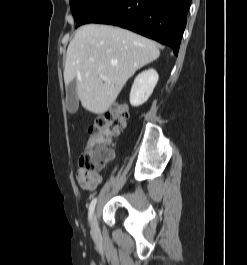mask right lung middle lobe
<instances>
[{"instance_id":"1","label":"right lung middle lobe","mask_w":247,"mask_h":265,"mask_svg":"<svg viewBox=\"0 0 247 265\" xmlns=\"http://www.w3.org/2000/svg\"><path fill=\"white\" fill-rule=\"evenodd\" d=\"M98 0H70L75 21H79Z\"/></svg>"}]
</instances>
